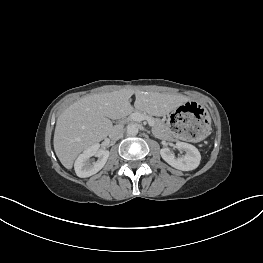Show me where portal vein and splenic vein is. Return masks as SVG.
<instances>
[{
    "instance_id": "18ae733b",
    "label": "portal vein and splenic vein",
    "mask_w": 263,
    "mask_h": 263,
    "mask_svg": "<svg viewBox=\"0 0 263 263\" xmlns=\"http://www.w3.org/2000/svg\"><path fill=\"white\" fill-rule=\"evenodd\" d=\"M131 117H132V119L134 121H137V122H141L143 120H147L149 126H153V124H154L153 120L150 117L145 116V115H143L141 113H132Z\"/></svg>"
}]
</instances>
